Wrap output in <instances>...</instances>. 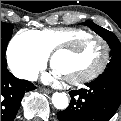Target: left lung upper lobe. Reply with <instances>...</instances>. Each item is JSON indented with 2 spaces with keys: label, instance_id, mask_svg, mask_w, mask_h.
Returning a JSON list of instances; mask_svg holds the SVG:
<instances>
[{
  "label": "left lung upper lobe",
  "instance_id": "left-lung-upper-lobe-1",
  "mask_svg": "<svg viewBox=\"0 0 121 121\" xmlns=\"http://www.w3.org/2000/svg\"><path fill=\"white\" fill-rule=\"evenodd\" d=\"M82 24L89 26L92 30L99 34L104 40L107 41L111 48V60L103 75H113L121 78V43L118 38L112 32L89 20Z\"/></svg>",
  "mask_w": 121,
  "mask_h": 121
}]
</instances>
